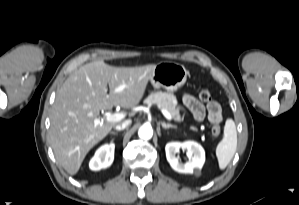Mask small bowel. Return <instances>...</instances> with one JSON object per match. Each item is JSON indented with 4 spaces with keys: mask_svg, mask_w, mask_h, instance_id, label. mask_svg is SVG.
Returning <instances> with one entry per match:
<instances>
[{
    "mask_svg": "<svg viewBox=\"0 0 299 205\" xmlns=\"http://www.w3.org/2000/svg\"><path fill=\"white\" fill-rule=\"evenodd\" d=\"M183 103L185 107L191 112L193 118L196 121H202L205 117L206 111L208 112L209 119H210V111L212 109H216L221 114L220 105L215 102L211 101L205 107L201 102H199L194 96L192 95H184Z\"/></svg>",
    "mask_w": 299,
    "mask_h": 205,
    "instance_id": "1",
    "label": "small bowel"
}]
</instances>
